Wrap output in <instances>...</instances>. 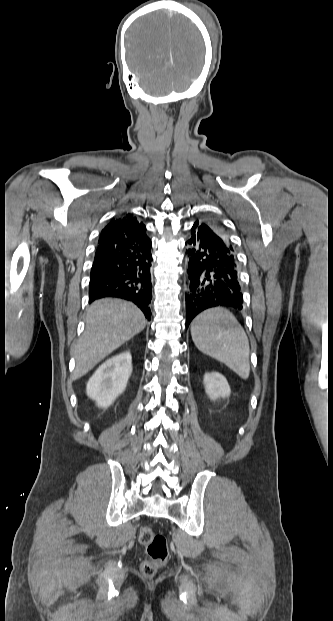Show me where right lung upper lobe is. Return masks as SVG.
<instances>
[{"label":"right lung upper lobe","instance_id":"obj_1","mask_svg":"<svg viewBox=\"0 0 333 621\" xmlns=\"http://www.w3.org/2000/svg\"><path fill=\"white\" fill-rule=\"evenodd\" d=\"M99 245L116 244L125 248H144L151 245L146 235V227L138 222L132 214H124L121 218L112 219L101 231Z\"/></svg>","mask_w":333,"mask_h":621}]
</instances>
